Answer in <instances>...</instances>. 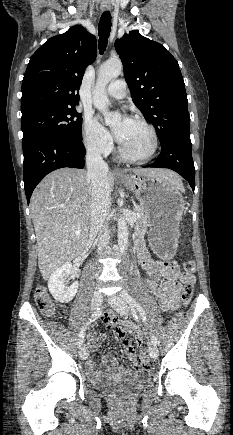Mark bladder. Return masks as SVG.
<instances>
[{
    "label": "bladder",
    "mask_w": 233,
    "mask_h": 435,
    "mask_svg": "<svg viewBox=\"0 0 233 435\" xmlns=\"http://www.w3.org/2000/svg\"><path fill=\"white\" fill-rule=\"evenodd\" d=\"M151 378L150 374H146L144 375L142 378L136 380L135 382H131V383H113V384H102L98 386V389L101 390H110L112 388H114L117 385L120 384H125L128 387H132V388H144L147 386V381Z\"/></svg>",
    "instance_id": "31cf9c89"
}]
</instances>
